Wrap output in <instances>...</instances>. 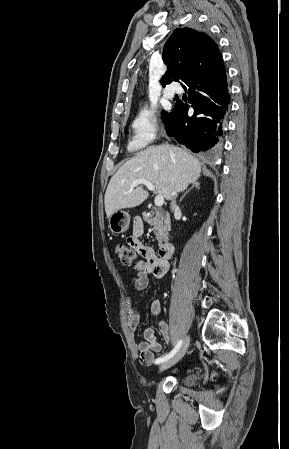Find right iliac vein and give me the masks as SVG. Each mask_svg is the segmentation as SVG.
<instances>
[{"instance_id":"1","label":"right iliac vein","mask_w":289,"mask_h":449,"mask_svg":"<svg viewBox=\"0 0 289 449\" xmlns=\"http://www.w3.org/2000/svg\"><path fill=\"white\" fill-rule=\"evenodd\" d=\"M189 343H190V338L189 336H187L181 347L179 348V350L174 354V356H172L170 359L164 361L160 367H159V371L162 372L168 368H170L171 366L175 365L178 361H180L182 359V357L185 355L188 347H189Z\"/></svg>"}]
</instances>
